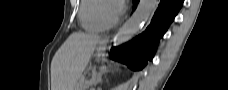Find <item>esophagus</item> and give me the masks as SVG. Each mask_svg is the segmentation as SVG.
<instances>
[{"label": "esophagus", "mask_w": 228, "mask_h": 90, "mask_svg": "<svg viewBox=\"0 0 228 90\" xmlns=\"http://www.w3.org/2000/svg\"><path fill=\"white\" fill-rule=\"evenodd\" d=\"M104 42L106 41H109V36H106L104 39H103Z\"/></svg>", "instance_id": "1"}]
</instances>
